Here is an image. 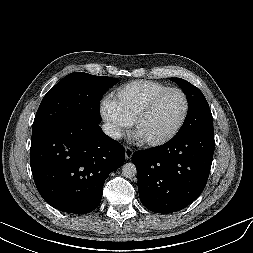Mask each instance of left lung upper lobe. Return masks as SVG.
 <instances>
[{
    "label": "left lung upper lobe",
    "instance_id": "1",
    "mask_svg": "<svg viewBox=\"0 0 253 253\" xmlns=\"http://www.w3.org/2000/svg\"><path fill=\"white\" fill-rule=\"evenodd\" d=\"M185 92L188 101V113L184 125L178 134L200 132L213 127V118L206 98L194 85L181 78H170Z\"/></svg>",
    "mask_w": 253,
    "mask_h": 253
}]
</instances>
